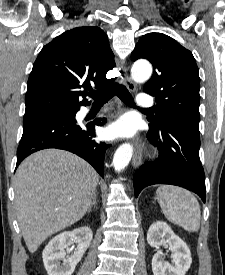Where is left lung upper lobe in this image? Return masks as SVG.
I'll return each instance as SVG.
<instances>
[{"label": "left lung upper lobe", "instance_id": "5c2ea615", "mask_svg": "<svg viewBox=\"0 0 225 275\" xmlns=\"http://www.w3.org/2000/svg\"><path fill=\"white\" fill-rule=\"evenodd\" d=\"M133 61L149 60L154 73L144 91L156 99L155 116L149 127L166 123L199 130V71L192 53L162 33L144 35L131 53Z\"/></svg>", "mask_w": 225, "mask_h": 275}]
</instances>
